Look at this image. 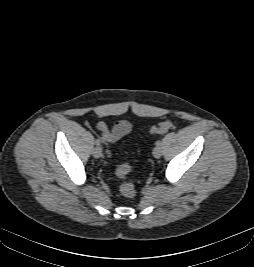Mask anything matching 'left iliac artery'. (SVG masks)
<instances>
[{
	"label": "left iliac artery",
	"mask_w": 254,
	"mask_h": 267,
	"mask_svg": "<svg viewBox=\"0 0 254 267\" xmlns=\"http://www.w3.org/2000/svg\"><path fill=\"white\" fill-rule=\"evenodd\" d=\"M161 143H162V142H161L160 140L156 141V146H160Z\"/></svg>",
	"instance_id": "left-iliac-artery-1"
}]
</instances>
